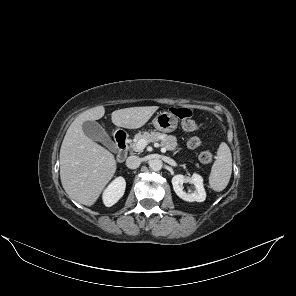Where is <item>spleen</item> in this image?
I'll return each instance as SVG.
<instances>
[{
    "label": "spleen",
    "mask_w": 296,
    "mask_h": 296,
    "mask_svg": "<svg viewBox=\"0 0 296 296\" xmlns=\"http://www.w3.org/2000/svg\"><path fill=\"white\" fill-rule=\"evenodd\" d=\"M232 174V154L228 145L222 142L209 176L211 189L220 192L226 188Z\"/></svg>",
    "instance_id": "spleen-1"
}]
</instances>
